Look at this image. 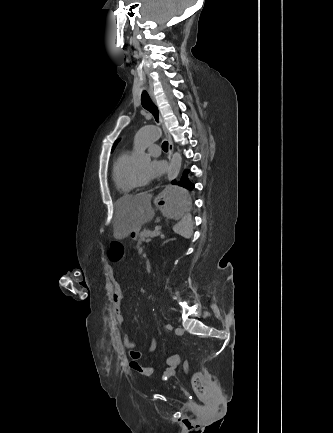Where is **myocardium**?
Here are the masks:
<instances>
[{"instance_id":"1","label":"myocardium","mask_w":333,"mask_h":433,"mask_svg":"<svg viewBox=\"0 0 333 433\" xmlns=\"http://www.w3.org/2000/svg\"><path fill=\"white\" fill-rule=\"evenodd\" d=\"M128 180L133 187L138 188L146 185V182H140L137 180L133 164H131L129 168Z\"/></svg>"}]
</instances>
